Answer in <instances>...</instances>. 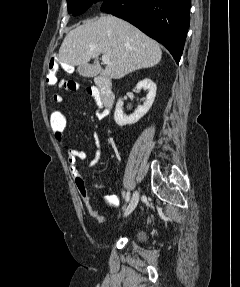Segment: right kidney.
Masks as SVG:
<instances>
[{"instance_id":"ca27d5eb","label":"right kidney","mask_w":240,"mask_h":287,"mask_svg":"<svg viewBox=\"0 0 240 287\" xmlns=\"http://www.w3.org/2000/svg\"><path fill=\"white\" fill-rule=\"evenodd\" d=\"M136 88L138 90H148V94L146 96V100L142 106H139L135 112L129 116H126L123 113L122 106H123V101L121 99L118 100L114 112V120L117 125L119 126H125V125H130V124H135L138 122L151 108L155 96H156V90L157 86L156 84L151 80V79H143L140 81Z\"/></svg>"}]
</instances>
